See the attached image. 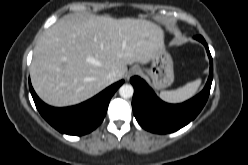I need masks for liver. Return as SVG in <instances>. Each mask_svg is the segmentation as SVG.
<instances>
[{"mask_svg": "<svg viewBox=\"0 0 248 165\" xmlns=\"http://www.w3.org/2000/svg\"><path fill=\"white\" fill-rule=\"evenodd\" d=\"M160 26L144 19L90 16L63 18L47 29L34 49L31 82L47 104L81 103L124 77L127 65L146 64L164 46Z\"/></svg>", "mask_w": 248, "mask_h": 165, "instance_id": "liver-1", "label": "liver"}]
</instances>
